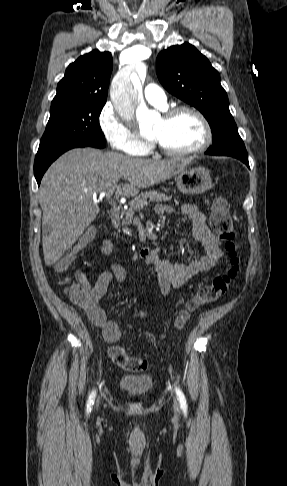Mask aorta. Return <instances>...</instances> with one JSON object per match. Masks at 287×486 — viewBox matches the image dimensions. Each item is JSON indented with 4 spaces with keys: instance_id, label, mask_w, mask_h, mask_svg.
I'll use <instances>...</instances> for the list:
<instances>
[{
    "instance_id": "1",
    "label": "aorta",
    "mask_w": 287,
    "mask_h": 486,
    "mask_svg": "<svg viewBox=\"0 0 287 486\" xmlns=\"http://www.w3.org/2000/svg\"><path fill=\"white\" fill-rule=\"evenodd\" d=\"M145 71V66H143ZM142 84L139 76L133 73L121 72L112 81L110 97L118 114L127 121L134 118L140 128L152 126V113L141 99Z\"/></svg>"
}]
</instances>
